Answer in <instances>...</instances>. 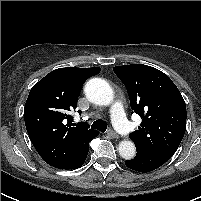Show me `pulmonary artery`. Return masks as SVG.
<instances>
[{"mask_svg": "<svg viewBox=\"0 0 201 201\" xmlns=\"http://www.w3.org/2000/svg\"><path fill=\"white\" fill-rule=\"evenodd\" d=\"M111 116L114 121L115 127L122 134H127L131 130V124L126 119L122 104L117 102L111 109Z\"/></svg>", "mask_w": 201, "mask_h": 201, "instance_id": "obj_1", "label": "pulmonary artery"}]
</instances>
